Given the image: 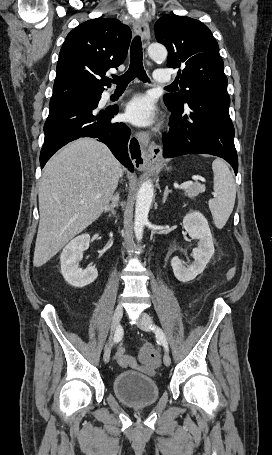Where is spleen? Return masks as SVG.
Masks as SVG:
<instances>
[{
  "label": "spleen",
  "instance_id": "obj_1",
  "mask_svg": "<svg viewBox=\"0 0 272 455\" xmlns=\"http://www.w3.org/2000/svg\"><path fill=\"white\" fill-rule=\"evenodd\" d=\"M215 197L208 202L214 224L221 229L231 215L236 198V185L227 164L221 159L212 163Z\"/></svg>",
  "mask_w": 272,
  "mask_h": 455
}]
</instances>
